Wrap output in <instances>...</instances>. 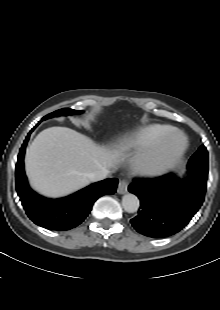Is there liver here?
Instances as JSON below:
<instances>
[{
	"label": "liver",
	"instance_id": "liver-1",
	"mask_svg": "<svg viewBox=\"0 0 220 310\" xmlns=\"http://www.w3.org/2000/svg\"><path fill=\"white\" fill-rule=\"evenodd\" d=\"M121 157L120 150L98 146L75 130L51 127L31 143L25 166L35 190L48 197H61L87 186L89 173L109 170Z\"/></svg>",
	"mask_w": 220,
	"mask_h": 310
}]
</instances>
